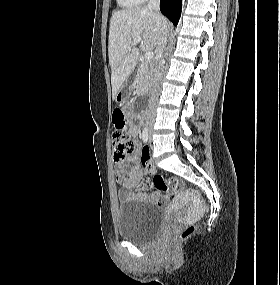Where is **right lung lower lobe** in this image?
<instances>
[{
    "instance_id": "98d812e1",
    "label": "right lung lower lobe",
    "mask_w": 280,
    "mask_h": 285,
    "mask_svg": "<svg viewBox=\"0 0 280 285\" xmlns=\"http://www.w3.org/2000/svg\"><path fill=\"white\" fill-rule=\"evenodd\" d=\"M182 0H160L161 12L171 21L174 25L178 24L181 15Z\"/></svg>"
}]
</instances>
